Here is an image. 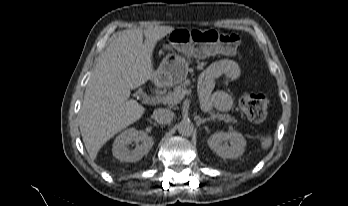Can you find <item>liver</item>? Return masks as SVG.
Returning a JSON list of instances; mask_svg holds the SVG:
<instances>
[{"mask_svg": "<svg viewBox=\"0 0 348 206\" xmlns=\"http://www.w3.org/2000/svg\"><path fill=\"white\" fill-rule=\"evenodd\" d=\"M172 31L171 26H159L119 32L101 55L87 84L79 119L92 160L108 140L144 114L145 108L129 99L130 90L156 78L153 49Z\"/></svg>", "mask_w": 348, "mask_h": 206, "instance_id": "liver-1", "label": "liver"}]
</instances>
